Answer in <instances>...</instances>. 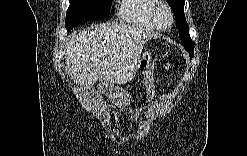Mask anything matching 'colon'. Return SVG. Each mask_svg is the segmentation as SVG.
Masks as SVG:
<instances>
[{
  "label": "colon",
  "mask_w": 247,
  "mask_h": 156,
  "mask_svg": "<svg viewBox=\"0 0 247 156\" xmlns=\"http://www.w3.org/2000/svg\"><path fill=\"white\" fill-rule=\"evenodd\" d=\"M165 68H166V70H172L173 69V66H172V64H166L165 65Z\"/></svg>",
  "instance_id": "obj_1"
}]
</instances>
